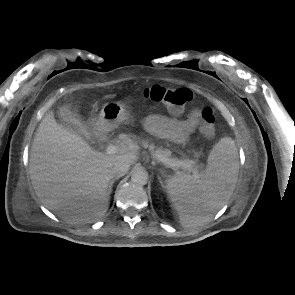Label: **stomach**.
<instances>
[{"instance_id":"0dacf381","label":"stomach","mask_w":295,"mask_h":295,"mask_svg":"<svg viewBox=\"0 0 295 295\" xmlns=\"http://www.w3.org/2000/svg\"><path fill=\"white\" fill-rule=\"evenodd\" d=\"M129 113L125 106L118 102L106 103L93 122L94 129L101 132H108L119 126L123 122L129 121Z\"/></svg>"}]
</instances>
